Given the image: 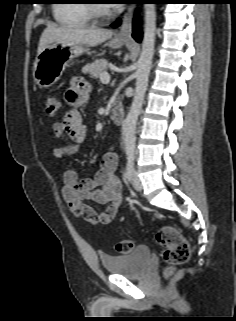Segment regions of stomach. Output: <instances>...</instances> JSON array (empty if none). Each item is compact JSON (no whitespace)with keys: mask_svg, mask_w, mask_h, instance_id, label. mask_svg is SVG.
Returning <instances> with one entry per match:
<instances>
[{"mask_svg":"<svg viewBox=\"0 0 236 321\" xmlns=\"http://www.w3.org/2000/svg\"><path fill=\"white\" fill-rule=\"evenodd\" d=\"M123 43V41L112 39L108 42V46L117 49ZM86 52L88 48L81 44L55 43L47 46L37 54L33 64L35 82L42 88L54 85L62 76L68 63Z\"/></svg>","mask_w":236,"mask_h":321,"instance_id":"1","label":"stomach"}]
</instances>
